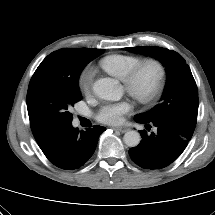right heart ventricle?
Wrapping results in <instances>:
<instances>
[{
  "label": "right heart ventricle",
  "instance_id": "e07e8e85",
  "mask_svg": "<svg viewBox=\"0 0 215 215\" xmlns=\"http://www.w3.org/2000/svg\"><path fill=\"white\" fill-rule=\"evenodd\" d=\"M141 58L130 54H111L100 61L101 67L110 75L123 80Z\"/></svg>",
  "mask_w": 215,
  "mask_h": 215
}]
</instances>
